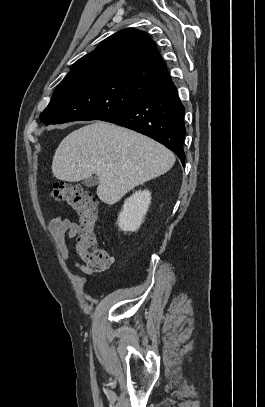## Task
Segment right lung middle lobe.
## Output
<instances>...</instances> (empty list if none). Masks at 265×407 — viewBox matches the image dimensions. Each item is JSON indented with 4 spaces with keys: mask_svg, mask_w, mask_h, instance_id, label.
Wrapping results in <instances>:
<instances>
[{
    "mask_svg": "<svg viewBox=\"0 0 265 407\" xmlns=\"http://www.w3.org/2000/svg\"><path fill=\"white\" fill-rule=\"evenodd\" d=\"M153 88L102 74L76 75L60 82L40 120L45 125L100 120L138 103Z\"/></svg>",
    "mask_w": 265,
    "mask_h": 407,
    "instance_id": "dd1d6c3e",
    "label": "right lung middle lobe"
}]
</instances>
